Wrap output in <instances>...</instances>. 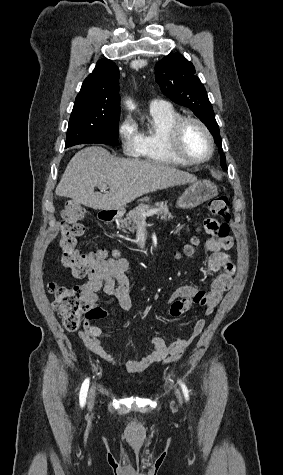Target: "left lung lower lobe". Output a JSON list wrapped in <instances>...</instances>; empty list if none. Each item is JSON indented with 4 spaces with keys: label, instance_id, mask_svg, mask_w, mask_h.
Masks as SVG:
<instances>
[{
    "label": "left lung lower lobe",
    "instance_id": "0a47b994",
    "mask_svg": "<svg viewBox=\"0 0 283 475\" xmlns=\"http://www.w3.org/2000/svg\"><path fill=\"white\" fill-rule=\"evenodd\" d=\"M218 148H219V152L221 153V166L224 170H227V166H226V162H225V155L223 153V150H222V145L221 144H217Z\"/></svg>",
    "mask_w": 283,
    "mask_h": 475
}]
</instances>
